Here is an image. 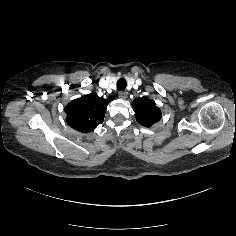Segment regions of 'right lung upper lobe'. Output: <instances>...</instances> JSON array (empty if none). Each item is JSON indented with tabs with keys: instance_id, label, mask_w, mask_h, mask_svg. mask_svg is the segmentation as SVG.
<instances>
[{
	"instance_id": "1",
	"label": "right lung upper lobe",
	"mask_w": 236,
	"mask_h": 236,
	"mask_svg": "<svg viewBox=\"0 0 236 236\" xmlns=\"http://www.w3.org/2000/svg\"><path fill=\"white\" fill-rule=\"evenodd\" d=\"M114 97L108 99L88 94L71 101L66 107L67 123L75 130L88 133L104 120L107 105Z\"/></svg>"
}]
</instances>
